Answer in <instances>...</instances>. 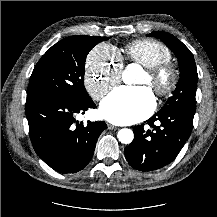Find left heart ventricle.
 I'll return each instance as SVG.
<instances>
[{"label": "left heart ventricle", "instance_id": "b2bd125f", "mask_svg": "<svg viewBox=\"0 0 217 217\" xmlns=\"http://www.w3.org/2000/svg\"><path fill=\"white\" fill-rule=\"evenodd\" d=\"M148 81H149V77L148 75L145 73L143 75V77L141 78V80L137 83L138 85H146L148 84Z\"/></svg>", "mask_w": 217, "mask_h": 217}]
</instances>
